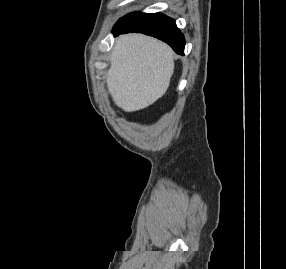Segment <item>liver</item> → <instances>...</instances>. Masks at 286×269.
<instances>
[{"mask_svg": "<svg viewBox=\"0 0 286 269\" xmlns=\"http://www.w3.org/2000/svg\"><path fill=\"white\" fill-rule=\"evenodd\" d=\"M173 71V53L168 45L145 35L127 34L115 43L106 83L114 103L133 112L165 94Z\"/></svg>", "mask_w": 286, "mask_h": 269, "instance_id": "liver-1", "label": "liver"}]
</instances>
